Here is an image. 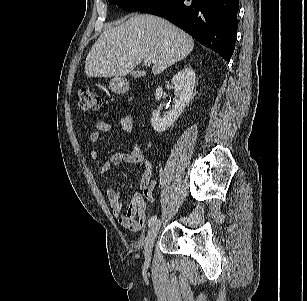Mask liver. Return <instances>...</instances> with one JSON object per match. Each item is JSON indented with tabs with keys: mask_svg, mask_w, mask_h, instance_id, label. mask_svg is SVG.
<instances>
[{
	"mask_svg": "<svg viewBox=\"0 0 307 301\" xmlns=\"http://www.w3.org/2000/svg\"><path fill=\"white\" fill-rule=\"evenodd\" d=\"M193 48L192 37L167 20L135 15L100 35L86 57L85 73L88 77H121L150 57L156 61L152 73L158 75Z\"/></svg>",
	"mask_w": 307,
	"mask_h": 301,
	"instance_id": "obj_1",
	"label": "liver"
}]
</instances>
